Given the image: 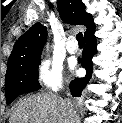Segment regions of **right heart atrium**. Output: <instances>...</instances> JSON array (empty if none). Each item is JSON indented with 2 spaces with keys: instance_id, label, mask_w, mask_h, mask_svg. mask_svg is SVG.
I'll return each instance as SVG.
<instances>
[{
  "instance_id": "right-heart-atrium-1",
  "label": "right heart atrium",
  "mask_w": 122,
  "mask_h": 123,
  "mask_svg": "<svg viewBox=\"0 0 122 123\" xmlns=\"http://www.w3.org/2000/svg\"><path fill=\"white\" fill-rule=\"evenodd\" d=\"M37 79L45 88L59 90L64 84L61 64L50 58H43L37 68Z\"/></svg>"
}]
</instances>
